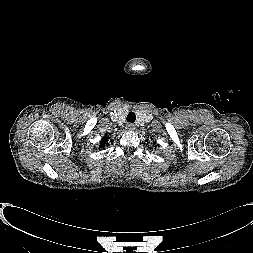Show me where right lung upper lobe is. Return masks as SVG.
Segmentation results:
<instances>
[{"label": "right lung upper lobe", "instance_id": "right-lung-upper-lobe-1", "mask_svg": "<svg viewBox=\"0 0 253 253\" xmlns=\"http://www.w3.org/2000/svg\"><path fill=\"white\" fill-rule=\"evenodd\" d=\"M109 138V137H108ZM107 141H108V139H107V135L102 139V141H101V146H100V148H103L104 146H105V144H107Z\"/></svg>", "mask_w": 253, "mask_h": 253}]
</instances>
